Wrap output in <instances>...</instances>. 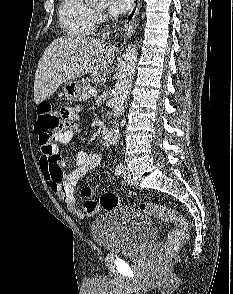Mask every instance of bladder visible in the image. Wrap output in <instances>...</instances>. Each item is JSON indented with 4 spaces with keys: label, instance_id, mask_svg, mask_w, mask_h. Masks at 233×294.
Here are the masks:
<instances>
[{
    "label": "bladder",
    "instance_id": "bladder-1",
    "mask_svg": "<svg viewBox=\"0 0 233 294\" xmlns=\"http://www.w3.org/2000/svg\"><path fill=\"white\" fill-rule=\"evenodd\" d=\"M94 242L102 250L120 255H136L156 238L154 222L142 211L121 206L108 210L91 226Z\"/></svg>",
    "mask_w": 233,
    "mask_h": 294
}]
</instances>
